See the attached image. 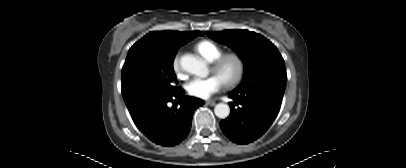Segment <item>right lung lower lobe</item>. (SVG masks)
Returning <instances> with one entry per match:
<instances>
[{"label": "right lung lower lobe", "instance_id": "obj_1", "mask_svg": "<svg viewBox=\"0 0 406 168\" xmlns=\"http://www.w3.org/2000/svg\"><path fill=\"white\" fill-rule=\"evenodd\" d=\"M184 93L178 88L171 95L131 115L134 123L156 144L174 146L180 143L189 134L194 111L204 104L203 100Z\"/></svg>", "mask_w": 406, "mask_h": 168}]
</instances>
